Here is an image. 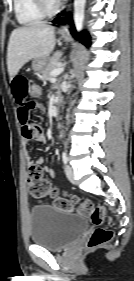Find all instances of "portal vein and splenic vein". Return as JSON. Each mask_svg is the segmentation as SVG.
<instances>
[{"label": "portal vein and splenic vein", "instance_id": "18ae733b", "mask_svg": "<svg viewBox=\"0 0 134 281\" xmlns=\"http://www.w3.org/2000/svg\"><path fill=\"white\" fill-rule=\"evenodd\" d=\"M63 70H64L63 67L54 69V70L51 72V75H52L53 77H56V76L60 75V74L63 72Z\"/></svg>", "mask_w": 134, "mask_h": 281}]
</instances>
